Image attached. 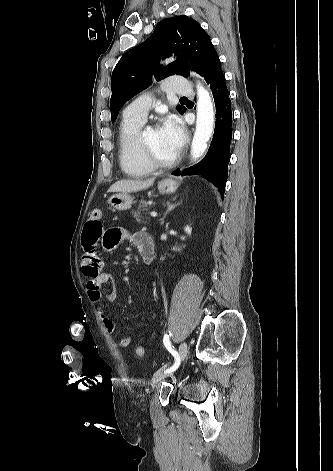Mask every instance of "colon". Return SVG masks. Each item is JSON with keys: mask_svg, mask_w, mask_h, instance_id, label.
<instances>
[{"mask_svg": "<svg viewBox=\"0 0 333 471\" xmlns=\"http://www.w3.org/2000/svg\"><path fill=\"white\" fill-rule=\"evenodd\" d=\"M101 215H102V212L100 209H94L90 214V218L92 220H98L101 218ZM136 355L138 357H142L144 355V348L142 346L136 347Z\"/></svg>", "mask_w": 333, "mask_h": 471, "instance_id": "5ec220e1", "label": "colon"}]
</instances>
